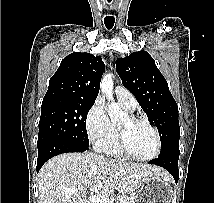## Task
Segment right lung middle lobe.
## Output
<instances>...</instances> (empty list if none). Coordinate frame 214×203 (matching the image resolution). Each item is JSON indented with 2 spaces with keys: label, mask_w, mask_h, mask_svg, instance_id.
<instances>
[{
  "label": "right lung middle lobe",
  "mask_w": 214,
  "mask_h": 203,
  "mask_svg": "<svg viewBox=\"0 0 214 203\" xmlns=\"http://www.w3.org/2000/svg\"><path fill=\"white\" fill-rule=\"evenodd\" d=\"M94 101L45 99L42 102L37 147L64 141L89 147L86 118Z\"/></svg>",
  "instance_id": "dd1d6c3e"
}]
</instances>
